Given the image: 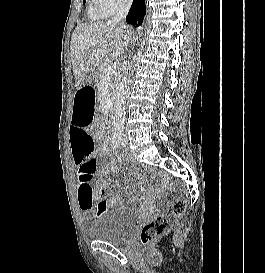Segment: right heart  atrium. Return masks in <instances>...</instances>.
<instances>
[{
    "label": "right heart atrium",
    "mask_w": 265,
    "mask_h": 273,
    "mask_svg": "<svg viewBox=\"0 0 265 273\" xmlns=\"http://www.w3.org/2000/svg\"><path fill=\"white\" fill-rule=\"evenodd\" d=\"M93 4L110 16L117 12L128 9L131 5L132 0H92Z\"/></svg>",
    "instance_id": "right-heart-atrium-1"
}]
</instances>
